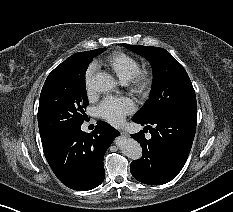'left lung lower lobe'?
Here are the masks:
<instances>
[{
	"label": "left lung lower lobe",
	"mask_w": 233,
	"mask_h": 212,
	"mask_svg": "<svg viewBox=\"0 0 233 212\" xmlns=\"http://www.w3.org/2000/svg\"><path fill=\"white\" fill-rule=\"evenodd\" d=\"M132 120L145 126L143 131L150 130L152 136L147 140L143 131L131 135L143 149L142 157L130 165L133 177L149 185L174 179L190 153L197 117L168 112L147 120Z\"/></svg>",
	"instance_id": "0a47b994"
}]
</instances>
